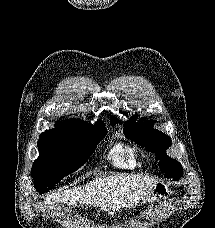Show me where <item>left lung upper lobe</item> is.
<instances>
[{
	"mask_svg": "<svg viewBox=\"0 0 215 228\" xmlns=\"http://www.w3.org/2000/svg\"><path fill=\"white\" fill-rule=\"evenodd\" d=\"M136 117L137 115H134L131 120L124 123V135L137 144L145 146L147 151L155 153L156 160H160L159 167L165 177L172 178L174 181L179 180L183 171L181 164L169 158L165 153L166 149L171 146V139L163 132L155 130L153 122L144 121L145 118L141 119V121H144L143 123L137 125L135 122ZM117 122L121 124L118 119L111 118L112 125Z\"/></svg>",
	"mask_w": 215,
	"mask_h": 228,
	"instance_id": "obj_1",
	"label": "left lung upper lobe"
}]
</instances>
